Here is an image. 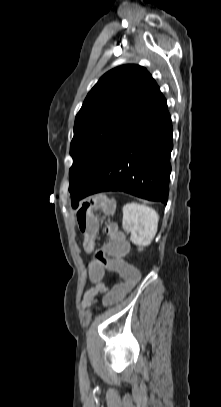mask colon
Masks as SVG:
<instances>
[{"label": "colon", "instance_id": "obj_1", "mask_svg": "<svg viewBox=\"0 0 221 407\" xmlns=\"http://www.w3.org/2000/svg\"><path fill=\"white\" fill-rule=\"evenodd\" d=\"M95 209L102 210L106 215H112L115 212V203L106 196L98 195L83 202L76 212L77 224L84 237V250L93 257L88 260L91 275L89 284L102 285L103 277L107 275L106 269L118 271V277L123 279V282H116L115 286L107 289L102 296V306L107 311L116 304H121L125 300V295H130L131 288L139 283L140 271L137 265H131L129 260H121L128 251V243L113 223L104 227V232L110 240L106 242L104 248L95 250L98 232V221L93 213Z\"/></svg>", "mask_w": 221, "mask_h": 407}]
</instances>
